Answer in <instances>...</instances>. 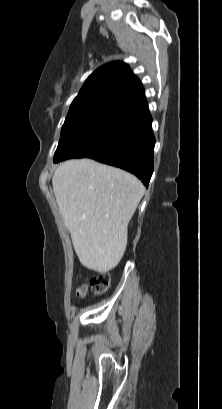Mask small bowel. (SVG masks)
<instances>
[{"mask_svg": "<svg viewBox=\"0 0 222 409\" xmlns=\"http://www.w3.org/2000/svg\"><path fill=\"white\" fill-rule=\"evenodd\" d=\"M86 291H87V286L85 284H81L77 289L78 294H84Z\"/></svg>", "mask_w": 222, "mask_h": 409, "instance_id": "1", "label": "small bowel"}]
</instances>
